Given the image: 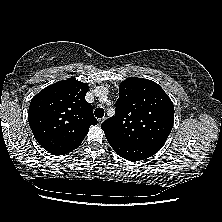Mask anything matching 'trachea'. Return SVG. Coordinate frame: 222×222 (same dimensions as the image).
I'll return each instance as SVG.
<instances>
[{"label": "trachea", "instance_id": "1", "mask_svg": "<svg viewBox=\"0 0 222 222\" xmlns=\"http://www.w3.org/2000/svg\"><path fill=\"white\" fill-rule=\"evenodd\" d=\"M95 116L97 118H102L104 116V109L103 108H97L95 110Z\"/></svg>", "mask_w": 222, "mask_h": 222}]
</instances>
